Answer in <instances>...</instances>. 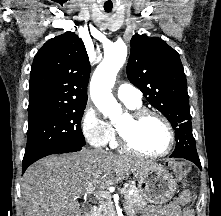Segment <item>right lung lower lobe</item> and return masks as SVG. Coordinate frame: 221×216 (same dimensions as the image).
<instances>
[{
  "mask_svg": "<svg viewBox=\"0 0 221 216\" xmlns=\"http://www.w3.org/2000/svg\"><path fill=\"white\" fill-rule=\"evenodd\" d=\"M81 150V147H66V148H61V149H57V150H54V151H51L43 156H41L40 158L38 159H41L45 156H48V155H51V154H59V153H68V152H76V151H79ZM37 159V160H38ZM37 160H34V161H31V162H27V163H23L22 164V173L25 172V170L35 161Z\"/></svg>",
  "mask_w": 221,
  "mask_h": 216,
  "instance_id": "right-lung-lower-lobe-1",
  "label": "right lung lower lobe"
}]
</instances>
